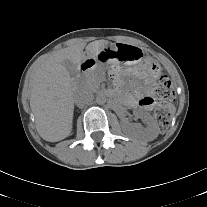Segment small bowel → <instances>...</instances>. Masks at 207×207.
Instances as JSON below:
<instances>
[{
	"mask_svg": "<svg viewBox=\"0 0 207 207\" xmlns=\"http://www.w3.org/2000/svg\"><path fill=\"white\" fill-rule=\"evenodd\" d=\"M149 66L147 65V68ZM134 74L145 80L142 86L134 85V94H126L124 102L130 107L139 106L143 109L150 110L154 106L155 100L153 98L154 80L158 74L153 75L145 68L136 70H118L115 72V80L118 84L121 83L122 78L126 75Z\"/></svg>",
	"mask_w": 207,
	"mask_h": 207,
	"instance_id": "small-bowel-1",
	"label": "small bowel"
}]
</instances>
